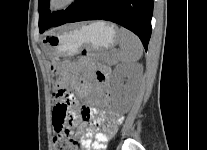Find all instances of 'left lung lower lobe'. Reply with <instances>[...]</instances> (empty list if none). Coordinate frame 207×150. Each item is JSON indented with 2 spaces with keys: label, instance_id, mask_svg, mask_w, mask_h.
<instances>
[{
  "label": "left lung lower lobe",
  "instance_id": "1",
  "mask_svg": "<svg viewBox=\"0 0 207 150\" xmlns=\"http://www.w3.org/2000/svg\"><path fill=\"white\" fill-rule=\"evenodd\" d=\"M153 0H77L54 25L107 20L134 32L147 50L151 36Z\"/></svg>",
  "mask_w": 207,
  "mask_h": 150
}]
</instances>
